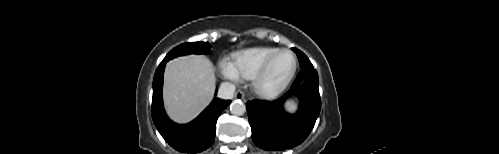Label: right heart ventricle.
I'll list each match as a JSON object with an SVG mask.
<instances>
[{
  "mask_svg": "<svg viewBox=\"0 0 499 154\" xmlns=\"http://www.w3.org/2000/svg\"><path fill=\"white\" fill-rule=\"evenodd\" d=\"M273 47H252L232 54L230 63L239 77L252 79L267 59L277 52Z\"/></svg>",
  "mask_w": 499,
  "mask_h": 154,
  "instance_id": "right-heart-ventricle-1",
  "label": "right heart ventricle"
}]
</instances>
